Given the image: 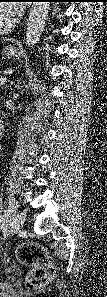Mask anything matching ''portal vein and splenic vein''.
<instances>
[{
	"label": "portal vein and splenic vein",
	"instance_id": "portal-vein-and-splenic-vein-1",
	"mask_svg": "<svg viewBox=\"0 0 107 297\" xmlns=\"http://www.w3.org/2000/svg\"><path fill=\"white\" fill-rule=\"evenodd\" d=\"M7 79L6 77H1L0 78V85H4L6 83Z\"/></svg>",
	"mask_w": 107,
	"mask_h": 297
}]
</instances>
